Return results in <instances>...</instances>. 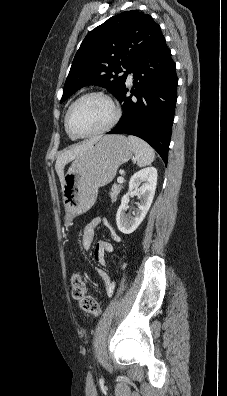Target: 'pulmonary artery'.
I'll list each match as a JSON object with an SVG mask.
<instances>
[{"instance_id":"e3ab8cb5","label":"pulmonary artery","mask_w":227,"mask_h":396,"mask_svg":"<svg viewBox=\"0 0 227 396\" xmlns=\"http://www.w3.org/2000/svg\"><path fill=\"white\" fill-rule=\"evenodd\" d=\"M128 79H129V80H131V79H132V75H131V74H129V76H128Z\"/></svg>"}]
</instances>
